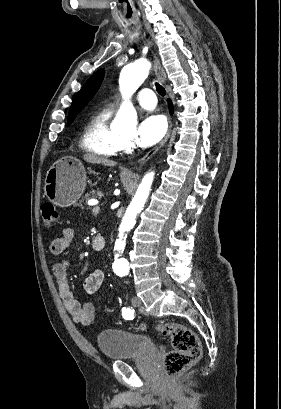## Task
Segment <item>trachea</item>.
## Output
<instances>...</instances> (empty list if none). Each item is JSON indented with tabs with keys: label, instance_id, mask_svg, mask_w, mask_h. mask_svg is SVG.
<instances>
[{
	"label": "trachea",
	"instance_id": "3493384b",
	"mask_svg": "<svg viewBox=\"0 0 281 409\" xmlns=\"http://www.w3.org/2000/svg\"><path fill=\"white\" fill-rule=\"evenodd\" d=\"M155 87L159 95H161L162 97L166 95V90L164 89V87H162V85H160L159 83H156Z\"/></svg>",
	"mask_w": 281,
	"mask_h": 409
}]
</instances>
